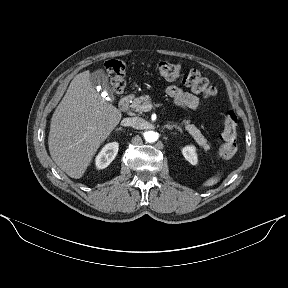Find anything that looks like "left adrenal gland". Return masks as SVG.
I'll use <instances>...</instances> for the list:
<instances>
[{"mask_svg": "<svg viewBox=\"0 0 288 288\" xmlns=\"http://www.w3.org/2000/svg\"><path fill=\"white\" fill-rule=\"evenodd\" d=\"M165 127H166L168 130L176 129V130H178L179 132H182L181 128H180L179 126H177L176 124H166Z\"/></svg>", "mask_w": 288, "mask_h": 288, "instance_id": "1", "label": "left adrenal gland"}]
</instances>
